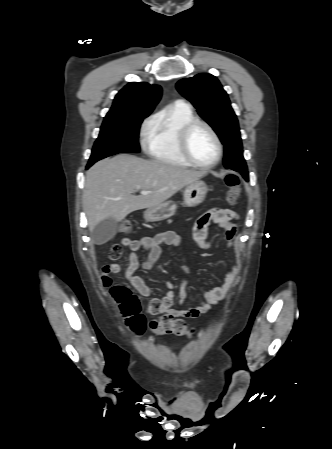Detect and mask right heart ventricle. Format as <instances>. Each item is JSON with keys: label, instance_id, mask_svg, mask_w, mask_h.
<instances>
[{"label": "right heart ventricle", "instance_id": "right-heart-ventricle-1", "mask_svg": "<svg viewBox=\"0 0 332 449\" xmlns=\"http://www.w3.org/2000/svg\"><path fill=\"white\" fill-rule=\"evenodd\" d=\"M191 108L184 102H177L153 119L146 141L147 153L154 159L172 165H190L178 148L180 129L194 120Z\"/></svg>", "mask_w": 332, "mask_h": 449}]
</instances>
